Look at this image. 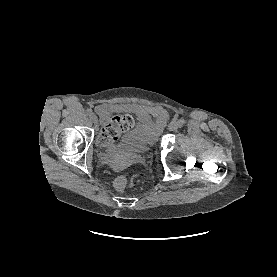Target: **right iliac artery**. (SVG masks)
<instances>
[{
	"instance_id": "right-iliac-artery-1",
	"label": "right iliac artery",
	"mask_w": 277,
	"mask_h": 277,
	"mask_svg": "<svg viewBox=\"0 0 277 277\" xmlns=\"http://www.w3.org/2000/svg\"><path fill=\"white\" fill-rule=\"evenodd\" d=\"M86 114H87L88 116H91V115L93 114V112H92L91 109H87V110H86Z\"/></svg>"
}]
</instances>
